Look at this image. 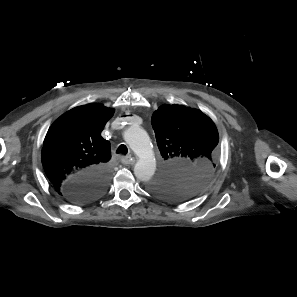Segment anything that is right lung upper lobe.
<instances>
[{
  "instance_id": "cb5924a9",
  "label": "right lung upper lobe",
  "mask_w": 297,
  "mask_h": 297,
  "mask_svg": "<svg viewBox=\"0 0 297 297\" xmlns=\"http://www.w3.org/2000/svg\"><path fill=\"white\" fill-rule=\"evenodd\" d=\"M114 112L101 104H88L66 112L51 125L43 143L42 164L59 194L74 175L108 167L110 143L101 132Z\"/></svg>"
}]
</instances>
